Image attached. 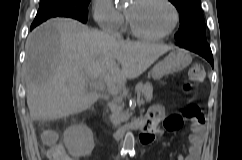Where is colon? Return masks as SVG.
<instances>
[{
  "label": "colon",
  "mask_w": 242,
  "mask_h": 160,
  "mask_svg": "<svg viewBox=\"0 0 242 160\" xmlns=\"http://www.w3.org/2000/svg\"><path fill=\"white\" fill-rule=\"evenodd\" d=\"M205 76V71L201 64L194 63L189 69V78L183 85L185 93H190L197 83H200ZM183 114L186 118L193 120L194 122H201L202 115L200 110L195 105H188L185 107ZM43 143L48 148V156L51 160H65L66 152L64 148L58 142V135L54 131H46L42 137Z\"/></svg>",
  "instance_id": "colon-1"
}]
</instances>
